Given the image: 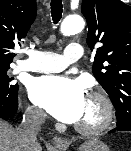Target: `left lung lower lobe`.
I'll return each instance as SVG.
<instances>
[{"instance_id":"left-lung-lower-lobe-1","label":"left lung lower lobe","mask_w":131,"mask_h":151,"mask_svg":"<svg viewBox=\"0 0 131 151\" xmlns=\"http://www.w3.org/2000/svg\"><path fill=\"white\" fill-rule=\"evenodd\" d=\"M131 131V121H125L124 123L117 125V128L111 130L110 132L114 131Z\"/></svg>"}]
</instances>
